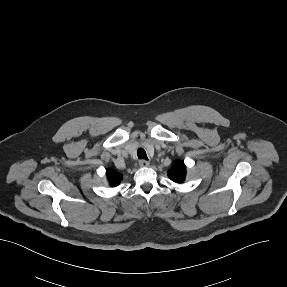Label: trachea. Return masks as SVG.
<instances>
[{
	"instance_id": "trachea-1",
	"label": "trachea",
	"mask_w": 287,
	"mask_h": 287,
	"mask_svg": "<svg viewBox=\"0 0 287 287\" xmlns=\"http://www.w3.org/2000/svg\"><path fill=\"white\" fill-rule=\"evenodd\" d=\"M137 155H138V158H139V159L148 160L146 151H145L143 148H139V149L137 150Z\"/></svg>"
}]
</instances>
